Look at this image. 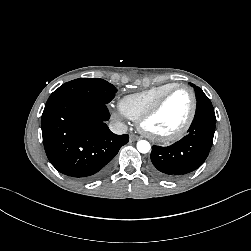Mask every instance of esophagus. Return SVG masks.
I'll return each instance as SVG.
<instances>
[{"instance_id":"obj_1","label":"esophagus","mask_w":251,"mask_h":251,"mask_svg":"<svg viewBox=\"0 0 251 251\" xmlns=\"http://www.w3.org/2000/svg\"><path fill=\"white\" fill-rule=\"evenodd\" d=\"M140 139V136L135 134H130V141H137Z\"/></svg>"}]
</instances>
